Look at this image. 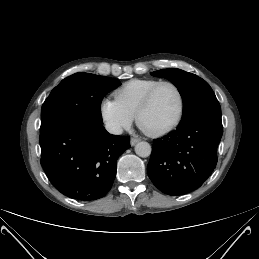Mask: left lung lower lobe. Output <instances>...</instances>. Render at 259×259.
Masks as SVG:
<instances>
[{"label":"left lung lower lobe","mask_w":259,"mask_h":259,"mask_svg":"<svg viewBox=\"0 0 259 259\" xmlns=\"http://www.w3.org/2000/svg\"><path fill=\"white\" fill-rule=\"evenodd\" d=\"M221 119L199 118L153 141L147 173L163 193L179 196L198 189L217 164Z\"/></svg>","instance_id":"obj_1"}]
</instances>
